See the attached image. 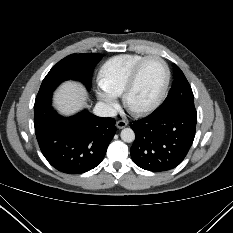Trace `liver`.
<instances>
[{"label":"liver","mask_w":233,"mask_h":233,"mask_svg":"<svg viewBox=\"0 0 233 233\" xmlns=\"http://www.w3.org/2000/svg\"><path fill=\"white\" fill-rule=\"evenodd\" d=\"M86 99L87 92L80 83L66 81L54 93L53 103L61 115L71 116L87 105Z\"/></svg>","instance_id":"obj_1"}]
</instances>
